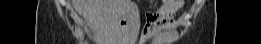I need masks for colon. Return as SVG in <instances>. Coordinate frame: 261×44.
<instances>
[{"label": "colon", "instance_id": "colon-1", "mask_svg": "<svg viewBox=\"0 0 261 44\" xmlns=\"http://www.w3.org/2000/svg\"><path fill=\"white\" fill-rule=\"evenodd\" d=\"M167 4H170L171 6H178V5H180V2L168 0V1L164 2V5H167Z\"/></svg>", "mask_w": 261, "mask_h": 44}]
</instances>
